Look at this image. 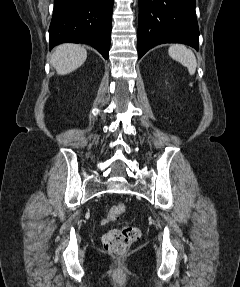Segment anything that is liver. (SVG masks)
<instances>
[{"label":"liver","instance_id":"6515ba94","mask_svg":"<svg viewBox=\"0 0 240 287\" xmlns=\"http://www.w3.org/2000/svg\"><path fill=\"white\" fill-rule=\"evenodd\" d=\"M87 58V51L77 44H62L57 46L51 56L50 63L57 74L66 75L79 68Z\"/></svg>","mask_w":240,"mask_h":287}]
</instances>
